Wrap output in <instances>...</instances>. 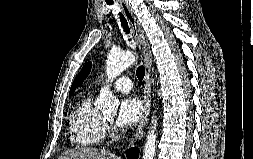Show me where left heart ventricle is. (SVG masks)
<instances>
[{
  "mask_svg": "<svg viewBox=\"0 0 253 159\" xmlns=\"http://www.w3.org/2000/svg\"><path fill=\"white\" fill-rule=\"evenodd\" d=\"M112 117L111 116H108V119H111Z\"/></svg>",
  "mask_w": 253,
  "mask_h": 159,
  "instance_id": "b2bd125f",
  "label": "left heart ventricle"
}]
</instances>
